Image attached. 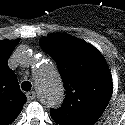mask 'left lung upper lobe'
Wrapping results in <instances>:
<instances>
[{"instance_id": "5c2ea615", "label": "left lung upper lobe", "mask_w": 125, "mask_h": 125, "mask_svg": "<svg viewBox=\"0 0 125 125\" xmlns=\"http://www.w3.org/2000/svg\"><path fill=\"white\" fill-rule=\"evenodd\" d=\"M39 44L56 61L66 90L62 106L50 111L52 119L59 125H94L113 91L102 54L87 42L61 33L44 37Z\"/></svg>"}]
</instances>
